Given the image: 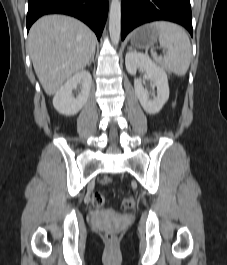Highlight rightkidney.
Here are the masks:
<instances>
[{
  "mask_svg": "<svg viewBox=\"0 0 227 265\" xmlns=\"http://www.w3.org/2000/svg\"><path fill=\"white\" fill-rule=\"evenodd\" d=\"M92 83L91 74L82 70L75 73L55 94L54 108L61 114L72 116L77 114L87 102ZM81 85V92L74 98L72 91Z\"/></svg>",
  "mask_w": 227,
  "mask_h": 265,
  "instance_id": "obj_1",
  "label": "right kidney"
}]
</instances>
